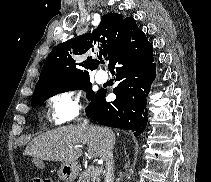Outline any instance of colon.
<instances>
[{
  "label": "colon",
  "mask_w": 211,
  "mask_h": 182,
  "mask_svg": "<svg viewBox=\"0 0 211 182\" xmlns=\"http://www.w3.org/2000/svg\"><path fill=\"white\" fill-rule=\"evenodd\" d=\"M36 182H55L53 179H39Z\"/></svg>",
  "instance_id": "colon-1"
}]
</instances>
